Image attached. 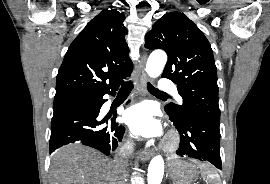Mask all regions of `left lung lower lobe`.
<instances>
[{"mask_svg":"<svg viewBox=\"0 0 270 184\" xmlns=\"http://www.w3.org/2000/svg\"><path fill=\"white\" fill-rule=\"evenodd\" d=\"M172 121L180 134L177 155L211 163L222 169L219 122L199 115H190L183 122Z\"/></svg>","mask_w":270,"mask_h":184,"instance_id":"1","label":"left lung lower lobe"}]
</instances>
